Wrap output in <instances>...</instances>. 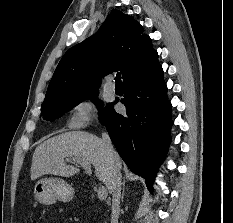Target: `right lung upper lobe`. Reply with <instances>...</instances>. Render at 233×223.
<instances>
[{
    "mask_svg": "<svg viewBox=\"0 0 233 223\" xmlns=\"http://www.w3.org/2000/svg\"><path fill=\"white\" fill-rule=\"evenodd\" d=\"M156 63L158 53L139 22L130 15L113 10L94 36L64 54L51 79L43 105L98 89L101 77L113 71L120 70L125 81Z\"/></svg>",
    "mask_w": 233,
    "mask_h": 223,
    "instance_id": "1",
    "label": "right lung upper lobe"
}]
</instances>
